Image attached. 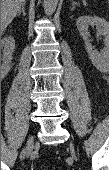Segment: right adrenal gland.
<instances>
[{"instance_id": "1", "label": "right adrenal gland", "mask_w": 109, "mask_h": 170, "mask_svg": "<svg viewBox=\"0 0 109 170\" xmlns=\"http://www.w3.org/2000/svg\"><path fill=\"white\" fill-rule=\"evenodd\" d=\"M21 13L23 14V16L26 15V13H25V0L23 1L21 9L17 13V16H19Z\"/></svg>"}]
</instances>
